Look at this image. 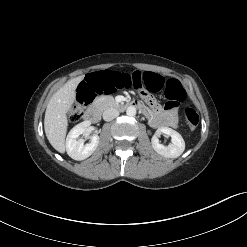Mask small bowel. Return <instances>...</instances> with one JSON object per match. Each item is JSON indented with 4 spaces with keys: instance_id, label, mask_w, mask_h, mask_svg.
Returning <instances> with one entry per match:
<instances>
[{
    "instance_id": "obj_1",
    "label": "small bowel",
    "mask_w": 247,
    "mask_h": 247,
    "mask_svg": "<svg viewBox=\"0 0 247 247\" xmlns=\"http://www.w3.org/2000/svg\"><path fill=\"white\" fill-rule=\"evenodd\" d=\"M145 97L143 103L144 113L150 125L154 128H176L178 125V113L176 108L166 105L165 108L159 107L152 99Z\"/></svg>"
}]
</instances>
